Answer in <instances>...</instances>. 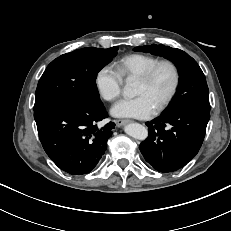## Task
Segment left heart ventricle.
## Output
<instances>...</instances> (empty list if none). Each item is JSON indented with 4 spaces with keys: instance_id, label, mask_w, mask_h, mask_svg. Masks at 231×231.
<instances>
[{
    "instance_id": "b2bd125f",
    "label": "left heart ventricle",
    "mask_w": 231,
    "mask_h": 231,
    "mask_svg": "<svg viewBox=\"0 0 231 231\" xmlns=\"http://www.w3.org/2000/svg\"><path fill=\"white\" fill-rule=\"evenodd\" d=\"M172 83V71L164 66L158 70L151 82L137 81L134 94L146 96L156 108L169 93Z\"/></svg>"
}]
</instances>
